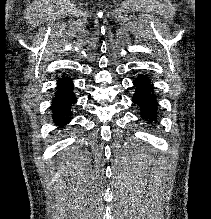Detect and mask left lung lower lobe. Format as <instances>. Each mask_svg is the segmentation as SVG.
Listing matches in <instances>:
<instances>
[{
	"label": "left lung lower lobe",
	"mask_w": 211,
	"mask_h": 219,
	"mask_svg": "<svg viewBox=\"0 0 211 219\" xmlns=\"http://www.w3.org/2000/svg\"><path fill=\"white\" fill-rule=\"evenodd\" d=\"M134 86L136 92L133 96V102L140 106L141 118L153 122L157 114V101L152 93L153 86L150 79L145 75H141L134 80Z\"/></svg>",
	"instance_id": "1"
}]
</instances>
